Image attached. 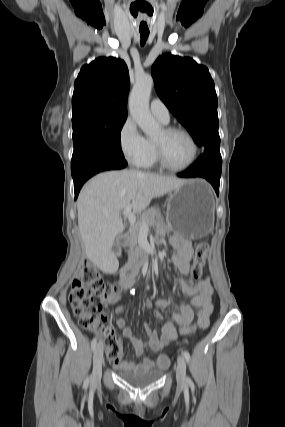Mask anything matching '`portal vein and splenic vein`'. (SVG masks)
Segmentation results:
<instances>
[{
  "label": "portal vein and splenic vein",
  "instance_id": "portal-vein-and-splenic-vein-1",
  "mask_svg": "<svg viewBox=\"0 0 285 427\" xmlns=\"http://www.w3.org/2000/svg\"><path fill=\"white\" fill-rule=\"evenodd\" d=\"M131 210H132V205L128 204L123 210V215L128 218L130 224L134 225L136 222V216L134 213H132ZM141 231H148V225L146 224L145 221L141 226Z\"/></svg>",
  "mask_w": 285,
  "mask_h": 427
}]
</instances>
